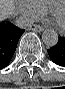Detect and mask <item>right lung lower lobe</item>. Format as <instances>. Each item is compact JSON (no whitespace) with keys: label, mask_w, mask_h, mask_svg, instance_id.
<instances>
[{"label":"right lung lower lobe","mask_w":65,"mask_h":89,"mask_svg":"<svg viewBox=\"0 0 65 89\" xmlns=\"http://www.w3.org/2000/svg\"><path fill=\"white\" fill-rule=\"evenodd\" d=\"M24 31V29H19L10 21L0 22V69L10 63L18 40Z\"/></svg>","instance_id":"obj_1"}]
</instances>
